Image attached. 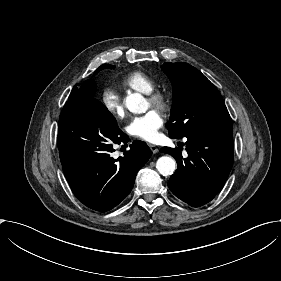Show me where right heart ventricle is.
<instances>
[{
    "label": "right heart ventricle",
    "mask_w": 281,
    "mask_h": 281,
    "mask_svg": "<svg viewBox=\"0 0 281 281\" xmlns=\"http://www.w3.org/2000/svg\"><path fill=\"white\" fill-rule=\"evenodd\" d=\"M119 86L124 91H136L150 95L154 92L156 84L154 80L142 70H134L124 76Z\"/></svg>",
    "instance_id": "obj_1"
}]
</instances>
